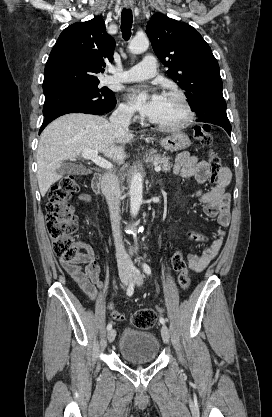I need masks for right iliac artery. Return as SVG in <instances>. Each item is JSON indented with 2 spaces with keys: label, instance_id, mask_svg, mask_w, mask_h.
<instances>
[{
  "label": "right iliac artery",
  "instance_id": "1",
  "mask_svg": "<svg viewBox=\"0 0 272 417\" xmlns=\"http://www.w3.org/2000/svg\"><path fill=\"white\" fill-rule=\"evenodd\" d=\"M134 285H135V281H132V282L129 284V286H128V288H127V295H128V296H132V295H133V293H134ZM111 328H112V324H111V323H109V324L107 325V330L109 331V330H111Z\"/></svg>",
  "mask_w": 272,
  "mask_h": 417
}]
</instances>
